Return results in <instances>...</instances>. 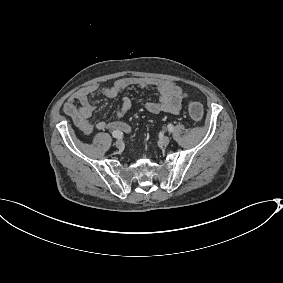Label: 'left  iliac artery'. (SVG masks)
<instances>
[{
    "label": "left iliac artery",
    "instance_id": "left-iliac-artery-1",
    "mask_svg": "<svg viewBox=\"0 0 283 283\" xmlns=\"http://www.w3.org/2000/svg\"><path fill=\"white\" fill-rule=\"evenodd\" d=\"M168 130H169V132H172V131H173V125H172V124H169V125H168Z\"/></svg>",
    "mask_w": 283,
    "mask_h": 283
}]
</instances>
